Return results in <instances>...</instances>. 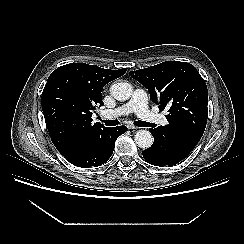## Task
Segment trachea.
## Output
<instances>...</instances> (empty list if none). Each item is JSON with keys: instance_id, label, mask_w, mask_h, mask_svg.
<instances>
[{"instance_id": "trachea-1", "label": "trachea", "mask_w": 244, "mask_h": 244, "mask_svg": "<svg viewBox=\"0 0 244 244\" xmlns=\"http://www.w3.org/2000/svg\"><path fill=\"white\" fill-rule=\"evenodd\" d=\"M99 119L101 120L100 117ZM103 122L105 123L106 126H116L117 124H119L118 120H104ZM134 125L138 127H151L152 124L145 121L138 120L134 122Z\"/></svg>"}]
</instances>
